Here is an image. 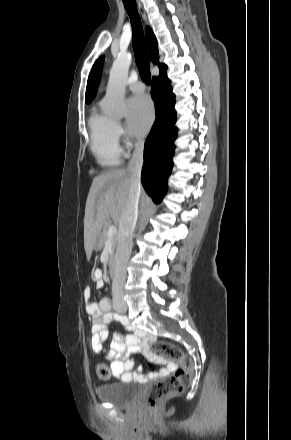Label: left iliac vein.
I'll list each match as a JSON object with an SVG mask.
<instances>
[{
  "instance_id": "1",
  "label": "left iliac vein",
  "mask_w": 291,
  "mask_h": 440,
  "mask_svg": "<svg viewBox=\"0 0 291 440\" xmlns=\"http://www.w3.org/2000/svg\"><path fill=\"white\" fill-rule=\"evenodd\" d=\"M116 311H117L118 313H120V314H124V313H126L127 308H126L125 305L118 306V307H116Z\"/></svg>"
}]
</instances>
